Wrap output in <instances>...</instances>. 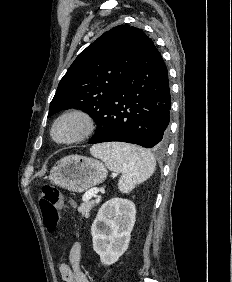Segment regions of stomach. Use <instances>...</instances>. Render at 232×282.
<instances>
[{
    "mask_svg": "<svg viewBox=\"0 0 232 282\" xmlns=\"http://www.w3.org/2000/svg\"><path fill=\"white\" fill-rule=\"evenodd\" d=\"M107 173L104 164L96 159L69 155L53 166L49 180L59 187L81 193L102 183Z\"/></svg>",
    "mask_w": 232,
    "mask_h": 282,
    "instance_id": "1",
    "label": "stomach"
}]
</instances>
